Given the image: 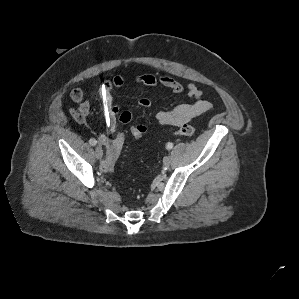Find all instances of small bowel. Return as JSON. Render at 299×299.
<instances>
[{
	"label": "small bowel",
	"instance_id": "1",
	"mask_svg": "<svg viewBox=\"0 0 299 299\" xmlns=\"http://www.w3.org/2000/svg\"><path fill=\"white\" fill-rule=\"evenodd\" d=\"M135 82L140 85L156 87L162 85L172 90L176 95H184L187 102L180 103L169 110L158 111L155 120L160 125L181 126L193 118L204 114L212 109V104L202 99V91L194 84L189 83L183 87L175 78L169 75L155 76L150 73H141L135 77ZM124 84V78L116 75L111 79L103 80L99 85V95L103 105V114L106 123L107 134H100L98 141L100 144H107L111 136L116 132L118 123L128 124L131 121V113L122 111L113 100V89L119 88ZM84 91L81 88H74L70 92V98L73 102L79 103V109L85 111L87 115L90 112V104L84 101ZM139 105L145 109L151 107L152 102L148 97H142ZM143 127L144 124H135Z\"/></svg>",
	"mask_w": 299,
	"mask_h": 299
}]
</instances>
